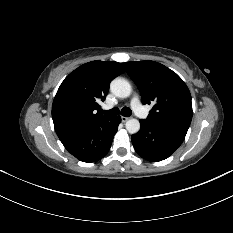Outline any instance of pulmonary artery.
<instances>
[{
	"label": "pulmonary artery",
	"instance_id": "e3ab8cb5",
	"mask_svg": "<svg viewBox=\"0 0 233 233\" xmlns=\"http://www.w3.org/2000/svg\"><path fill=\"white\" fill-rule=\"evenodd\" d=\"M131 105L133 110L140 116V117H144L145 116V112L142 108V105L140 103V100L137 96H134L131 100Z\"/></svg>",
	"mask_w": 233,
	"mask_h": 233
}]
</instances>
